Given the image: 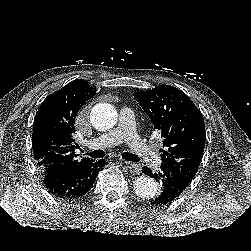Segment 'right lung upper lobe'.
<instances>
[{"label": "right lung upper lobe", "mask_w": 251, "mask_h": 251, "mask_svg": "<svg viewBox=\"0 0 251 251\" xmlns=\"http://www.w3.org/2000/svg\"><path fill=\"white\" fill-rule=\"evenodd\" d=\"M87 81L73 80L41 103L34 117L32 148L44 177L66 168L93 162L76 159L74 121L81 107L95 95Z\"/></svg>", "instance_id": "right-lung-upper-lobe-1"}]
</instances>
